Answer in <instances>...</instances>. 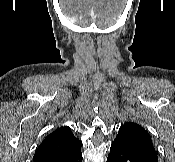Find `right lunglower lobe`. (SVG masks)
Listing matches in <instances>:
<instances>
[{"label":"right lung lower lobe","mask_w":175,"mask_h":162,"mask_svg":"<svg viewBox=\"0 0 175 162\" xmlns=\"http://www.w3.org/2000/svg\"><path fill=\"white\" fill-rule=\"evenodd\" d=\"M82 153L81 150L71 154H55L42 157L35 162H81Z\"/></svg>","instance_id":"right-lung-lower-lobe-1"}]
</instances>
